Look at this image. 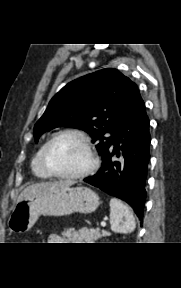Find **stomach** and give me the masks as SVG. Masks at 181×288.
I'll list each match as a JSON object with an SVG mask.
<instances>
[{
    "label": "stomach",
    "mask_w": 181,
    "mask_h": 288,
    "mask_svg": "<svg viewBox=\"0 0 181 288\" xmlns=\"http://www.w3.org/2000/svg\"><path fill=\"white\" fill-rule=\"evenodd\" d=\"M98 206L99 197L90 188H55L18 201L8 219V227L13 232L22 233L30 230L40 215L88 214Z\"/></svg>",
    "instance_id": "0dacf381"
}]
</instances>
